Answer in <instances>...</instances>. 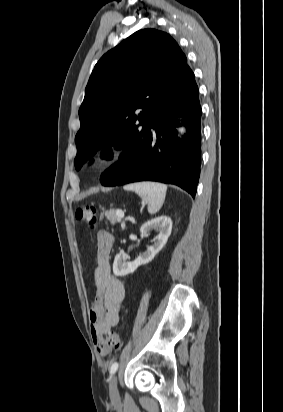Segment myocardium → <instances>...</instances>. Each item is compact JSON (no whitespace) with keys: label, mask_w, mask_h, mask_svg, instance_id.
<instances>
[{"label":"myocardium","mask_w":283,"mask_h":412,"mask_svg":"<svg viewBox=\"0 0 283 412\" xmlns=\"http://www.w3.org/2000/svg\"><path fill=\"white\" fill-rule=\"evenodd\" d=\"M123 151L118 146H109L98 150L93 158L92 165L97 171H105L112 167L121 157Z\"/></svg>","instance_id":"f54148a6"}]
</instances>
